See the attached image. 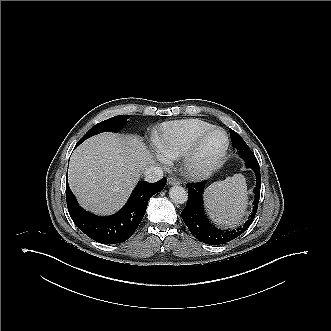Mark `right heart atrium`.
<instances>
[{
    "label": "right heart atrium",
    "instance_id": "right-heart-atrium-1",
    "mask_svg": "<svg viewBox=\"0 0 331 331\" xmlns=\"http://www.w3.org/2000/svg\"><path fill=\"white\" fill-rule=\"evenodd\" d=\"M156 158L160 161L166 162V156L159 150L156 152Z\"/></svg>",
    "mask_w": 331,
    "mask_h": 331
}]
</instances>
